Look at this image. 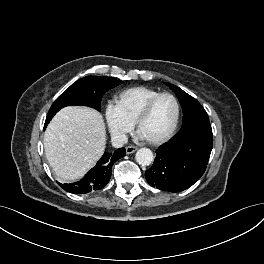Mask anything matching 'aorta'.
Masks as SVG:
<instances>
[{"label":"aorta","instance_id":"obj_1","mask_svg":"<svg viewBox=\"0 0 264 264\" xmlns=\"http://www.w3.org/2000/svg\"><path fill=\"white\" fill-rule=\"evenodd\" d=\"M136 162L142 166H148L153 162L154 156L150 149L141 148L136 152Z\"/></svg>","mask_w":264,"mask_h":264}]
</instances>
